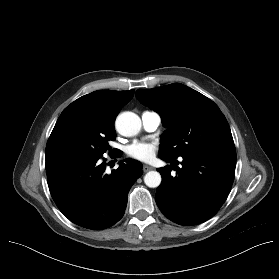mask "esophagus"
<instances>
[{
  "label": "esophagus",
  "mask_w": 279,
  "mask_h": 279,
  "mask_svg": "<svg viewBox=\"0 0 279 279\" xmlns=\"http://www.w3.org/2000/svg\"><path fill=\"white\" fill-rule=\"evenodd\" d=\"M153 169V167H151V166H148V165H144L143 166V171L144 172H148V171H150V170H152Z\"/></svg>",
  "instance_id": "esophagus-1"
}]
</instances>
